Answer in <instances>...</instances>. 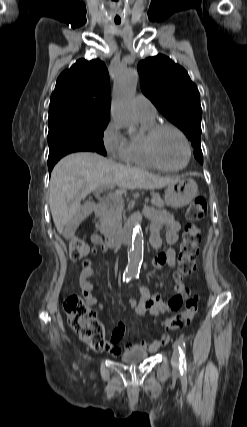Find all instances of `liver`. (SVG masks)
Wrapping results in <instances>:
<instances>
[{"label": "liver", "instance_id": "1", "mask_svg": "<svg viewBox=\"0 0 247 427\" xmlns=\"http://www.w3.org/2000/svg\"><path fill=\"white\" fill-rule=\"evenodd\" d=\"M177 178L160 177L145 170L124 166L99 154L79 152L62 158L52 170L49 205L59 234L81 208V200L103 187L157 189Z\"/></svg>", "mask_w": 247, "mask_h": 427}]
</instances>
